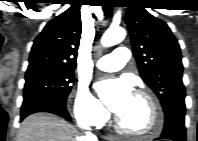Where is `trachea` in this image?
<instances>
[{"instance_id": "trachea-1", "label": "trachea", "mask_w": 198, "mask_h": 141, "mask_svg": "<svg viewBox=\"0 0 198 141\" xmlns=\"http://www.w3.org/2000/svg\"><path fill=\"white\" fill-rule=\"evenodd\" d=\"M103 10H104L105 17L110 18L112 15V7L109 5H104Z\"/></svg>"}]
</instances>
